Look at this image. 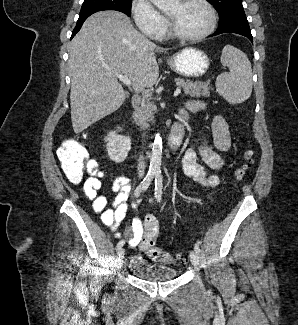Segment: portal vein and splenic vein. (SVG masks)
I'll use <instances>...</instances> for the list:
<instances>
[{
    "label": "portal vein and splenic vein",
    "instance_id": "18ae733b",
    "mask_svg": "<svg viewBox=\"0 0 298 325\" xmlns=\"http://www.w3.org/2000/svg\"><path fill=\"white\" fill-rule=\"evenodd\" d=\"M117 78H119V80H121V82H124V84H128V86H130L131 80H130L129 76H124V74H117ZM181 90H182L181 86H177V88H175V90L173 92V96H178V94H180Z\"/></svg>",
    "mask_w": 298,
    "mask_h": 325
}]
</instances>
